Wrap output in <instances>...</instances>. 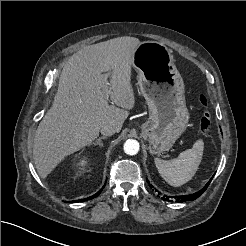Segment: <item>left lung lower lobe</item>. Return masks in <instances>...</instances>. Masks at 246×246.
Returning a JSON list of instances; mask_svg holds the SVG:
<instances>
[{
    "label": "left lung lower lobe",
    "instance_id": "obj_1",
    "mask_svg": "<svg viewBox=\"0 0 246 246\" xmlns=\"http://www.w3.org/2000/svg\"><path fill=\"white\" fill-rule=\"evenodd\" d=\"M213 178V177H212ZM212 178L210 179V181L198 192L194 193V194H190V195H184V196H176L174 197L176 201L178 202H185V201H190V200H195L196 198H198L200 195H202L204 193V191L207 189V187L209 186ZM148 182V180H147ZM149 183V182H148ZM150 187L152 188L153 186L150 185ZM157 191V190H156ZM160 194V192H158ZM163 200L165 201H171L172 197L171 196H166L164 195L162 197Z\"/></svg>",
    "mask_w": 246,
    "mask_h": 246
}]
</instances>
